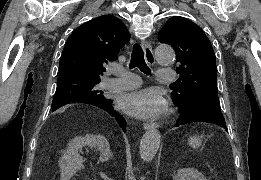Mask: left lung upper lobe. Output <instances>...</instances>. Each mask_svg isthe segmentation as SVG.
Instances as JSON below:
<instances>
[{"label": "left lung upper lobe", "instance_id": "1", "mask_svg": "<svg viewBox=\"0 0 261 180\" xmlns=\"http://www.w3.org/2000/svg\"><path fill=\"white\" fill-rule=\"evenodd\" d=\"M158 40L170 44L176 52V90L171 93L178 105L191 101L220 108L217 94L215 54L204 31L192 21L175 16L159 31Z\"/></svg>", "mask_w": 261, "mask_h": 180}]
</instances>
